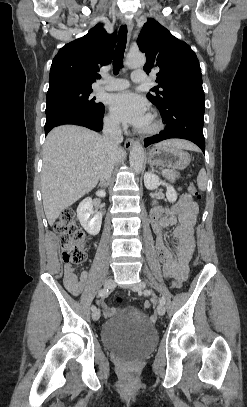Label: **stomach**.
<instances>
[{
  "instance_id": "0dacf381",
  "label": "stomach",
  "mask_w": 247,
  "mask_h": 407,
  "mask_svg": "<svg viewBox=\"0 0 247 407\" xmlns=\"http://www.w3.org/2000/svg\"><path fill=\"white\" fill-rule=\"evenodd\" d=\"M147 159L152 166L183 170L190 164L191 156L181 148L160 143L149 150Z\"/></svg>"
}]
</instances>
